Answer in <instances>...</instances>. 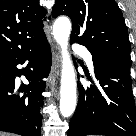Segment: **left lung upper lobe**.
<instances>
[{"mask_svg": "<svg viewBox=\"0 0 136 136\" xmlns=\"http://www.w3.org/2000/svg\"><path fill=\"white\" fill-rule=\"evenodd\" d=\"M52 15L71 18V42L101 59L130 67L128 30L114 0H56Z\"/></svg>", "mask_w": 136, "mask_h": 136, "instance_id": "obj_1", "label": "left lung upper lobe"}]
</instances>
